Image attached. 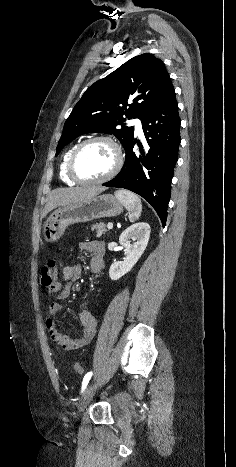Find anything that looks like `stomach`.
<instances>
[{"label":"stomach","mask_w":236,"mask_h":467,"mask_svg":"<svg viewBox=\"0 0 236 467\" xmlns=\"http://www.w3.org/2000/svg\"><path fill=\"white\" fill-rule=\"evenodd\" d=\"M123 206L111 194L63 205L55 210L45 222L43 226L44 239L46 242H55L63 235L69 225L117 216L123 212Z\"/></svg>","instance_id":"obj_1"}]
</instances>
